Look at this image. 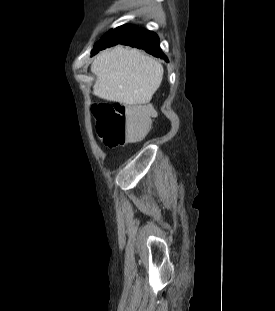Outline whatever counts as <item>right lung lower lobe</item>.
I'll use <instances>...</instances> for the list:
<instances>
[{"mask_svg":"<svg viewBox=\"0 0 275 311\" xmlns=\"http://www.w3.org/2000/svg\"><path fill=\"white\" fill-rule=\"evenodd\" d=\"M120 44L143 49L147 53L168 62L167 57L160 49L158 36L152 31L137 28L131 36Z\"/></svg>","mask_w":275,"mask_h":311,"instance_id":"right-lung-lower-lobe-1","label":"right lung lower lobe"}]
</instances>
